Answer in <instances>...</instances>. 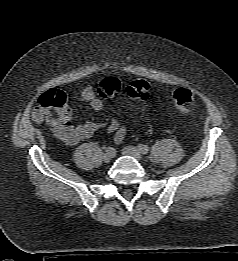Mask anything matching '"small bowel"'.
I'll return each instance as SVG.
<instances>
[{"label":"small bowel","mask_w":238,"mask_h":261,"mask_svg":"<svg viewBox=\"0 0 238 261\" xmlns=\"http://www.w3.org/2000/svg\"><path fill=\"white\" fill-rule=\"evenodd\" d=\"M96 94V89L88 86L82 90L80 100L83 102H88L94 111L100 112L103 109V103ZM103 125L106 126L107 133L113 135V141L115 143H121L126 137L127 127L121 124L117 119H111L106 123L91 121L75 126L72 124L69 117L63 123L53 126L51 125V127L54 134L60 140L65 142L67 145H75L80 141L90 138Z\"/></svg>","instance_id":"obj_1"}]
</instances>
